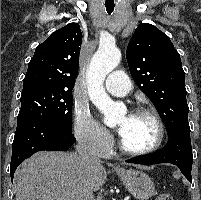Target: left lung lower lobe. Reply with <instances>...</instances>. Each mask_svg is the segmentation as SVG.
I'll list each match as a JSON object with an SVG mask.
<instances>
[{"mask_svg": "<svg viewBox=\"0 0 201 200\" xmlns=\"http://www.w3.org/2000/svg\"><path fill=\"white\" fill-rule=\"evenodd\" d=\"M167 144L158 152L129 159L126 162L143 165L171 163L176 165L184 176L192 183V146L190 128L181 129L168 135Z\"/></svg>", "mask_w": 201, "mask_h": 200, "instance_id": "1", "label": "left lung lower lobe"}]
</instances>
